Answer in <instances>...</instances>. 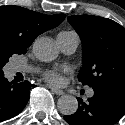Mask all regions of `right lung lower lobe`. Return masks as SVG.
<instances>
[{
  "instance_id": "98d812e1",
  "label": "right lung lower lobe",
  "mask_w": 125,
  "mask_h": 125,
  "mask_svg": "<svg viewBox=\"0 0 125 125\" xmlns=\"http://www.w3.org/2000/svg\"><path fill=\"white\" fill-rule=\"evenodd\" d=\"M35 87L28 81L9 82L0 75V122L18 115L26 106L30 90Z\"/></svg>"
}]
</instances>
